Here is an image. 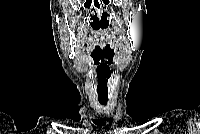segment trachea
<instances>
[{"label": "trachea", "mask_w": 200, "mask_h": 134, "mask_svg": "<svg viewBox=\"0 0 200 134\" xmlns=\"http://www.w3.org/2000/svg\"><path fill=\"white\" fill-rule=\"evenodd\" d=\"M100 104L105 105L107 103V101H99Z\"/></svg>", "instance_id": "3493384b"}]
</instances>
